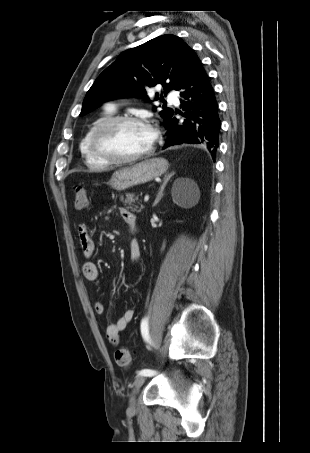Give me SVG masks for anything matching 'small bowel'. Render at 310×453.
Wrapping results in <instances>:
<instances>
[{
    "instance_id": "1",
    "label": "small bowel",
    "mask_w": 310,
    "mask_h": 453,
    "mask_svg": "<svg viewBox=\"0 0 310 453\" xmlns=\"http://www.w3.org/2000/svg\"><path fill=\"white\" fill-rule=\"evenodd\" d=\"M120 212L127 228L130 231H135L138 225L136 215L126 209H121ZM78 238L84 257L91 258L95 250V244L87 225L80 224L78 226ZM130 255L133 262H136L140 258L141 247L136 239H133L130 243ZM82 273L84 278L91 282L97 281L100 277L99 269L91 261H86L82 265ZM94 309L98 315L105 313V307L101 301L94 303ZM134 314L135 311L133 308H127L115 322L109 323L106 326L105 334L112 343H118L119 333L132 321Z\"/></svg>"
}]
</instances>
